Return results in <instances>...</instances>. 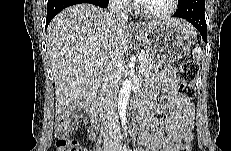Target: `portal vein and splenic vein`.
<instances>
[{
    "label": "portal vein and splenic vein",
    "instance_id": "1",
    "mask_svg": "<svg viewBox=\"0 0 231 151\" xmlns=\"http://www.w3.org/2000/svg\"><path fill=\"white\" fill-rule=\"evenodd\" d=\"M144 57H145V54H143V53H140L138 56L139 60H143ZM89 65H91V64H89Z\"/></svg>",
    "mask_w": 231,
    "mask_h": 151
}]
</instances>
